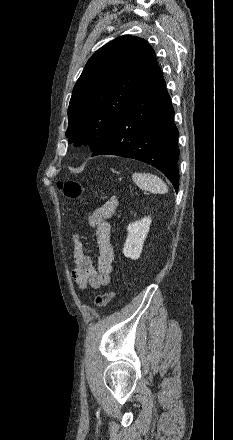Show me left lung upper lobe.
Returning a JSON list of instances; mask_svg holds the SVG:
<instances>
[{"instance_id":"1","label":"left lung upper lobe","mask_w":233,"mask_h":440,"mask_svg":"<svg viewBox=\"0 0 233 440\" xmlns=\"http://www.w3.org/2000/svg\"><path fill=\"white\" fill-rule=\"evenodd\" d=\"M156 67L152 47L135 36H120L95 52L72 92L65 134L69 143L89 144L95 151Z\"/></svg>"}]
</instances>
